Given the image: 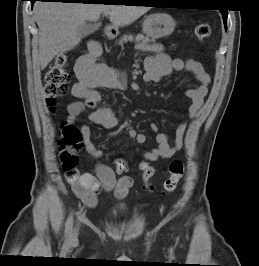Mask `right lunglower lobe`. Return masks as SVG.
<instances>
[{
    "label": "right lung lower lobe",
    "mask_w": 259,
    "mask_h": 266,
    "mask_svg": "<svg viewBox=\"0 0 259 266\" xmlns=\"http://www.w3.org/2000/svg\"><path fill=\"white\" fill-rule=\"evenodd\" d=\"M30 1H31L32 6H33V4H34L35 1H42V2H45V1H54V2H62V3H65V2L76 1V0H30ZM80 1H83L82 3L86 4V3H89V2H99V1H102V0H80Z\"/></svg>",
    "instance_id": "98d812e1"
}]
</instances>
